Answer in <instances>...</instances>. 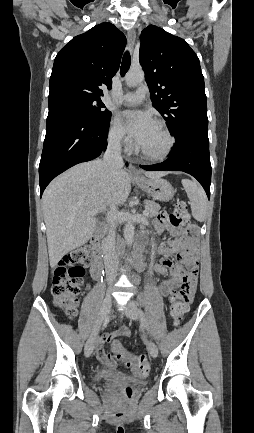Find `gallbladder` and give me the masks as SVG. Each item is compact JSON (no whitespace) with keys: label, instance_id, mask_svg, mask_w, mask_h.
<instances>
[{"label":"gallbladder","instance_id":"bac80fb5","mask_svg":"<svg viewBox=\"0 0 254 433\" xmlns=\"http://www.w3.org/2000/svg\"><path fill=\"white\" fill-rule=\"evenodd\" d=\"M103 230V226L101 223H98L95 227V233L100 234Z\"/></svg>","mask_w":254,"mask_h":433}]
</instances>
